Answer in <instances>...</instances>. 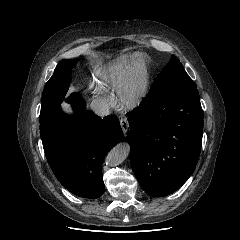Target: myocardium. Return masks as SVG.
<instances>
[{"mask_svg": "<svg viewBox=\"0 0 240 240\" xmlns=\"http://www.w3.org/2000/svg\"><path fill=\"white\" fill-rule=\"evenodd\" d=\"M149 88V75L142 68L137 70L130 65L124 72L118 85V97L121 104L132 107L138 104Z\"/></svg>", "mask_w": 240, "mask_h": 240, "instance_id": "myocardium-1", "label": "myocardium"}]
</instances>
